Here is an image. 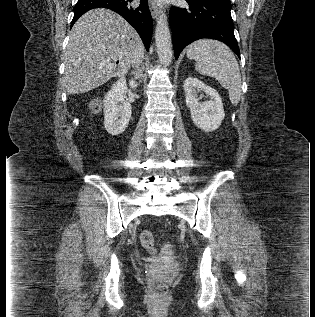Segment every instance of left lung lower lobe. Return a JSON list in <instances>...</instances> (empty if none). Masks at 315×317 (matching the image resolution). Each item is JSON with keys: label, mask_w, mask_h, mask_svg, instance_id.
<instances>
[{"label": "left lung lower lobe", "mask_w": 315, "mask_h": 317, "mask_svg": "<svg viewBox=\"0 0 315 317\" xmlns=\"http://www.w3.org/2000/svg\"><path fill=\"white\" fill-rule=\"evenodd\" d=\"M189 7H172L169 23L175 58L190 43L201 38L220 40L240 58L234 36L231 4L218 0H186Z\"/></svg>", "instance_id": "left-lung-lower-lobe-1"}]
</instances>
